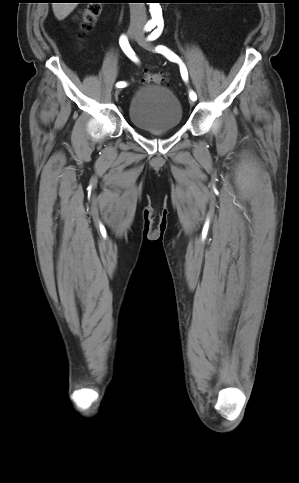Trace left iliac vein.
Returning <instances> with one entry per match:
<instances>
[{
    "label": "left iliac vein",
    "mask_w": 299,
    "mask_h": 483,
    "mask_svg": "<svg viewBox=\"0 0 299 483\" xmlns=\"http://www.w3.org/2000/svg\"><path fill=\"white\" fill-rule=\"evenodd\" d=\"M137 42L139 43V45H141L143 48L145 49H152V45L150 42H148L144 36L142 34L139 35V37L137 38ZM189 104L191 106L194 105V101L193 100H189Z\"/></svg>",
    "instance_id": "obj_1"
}]
</instances>
